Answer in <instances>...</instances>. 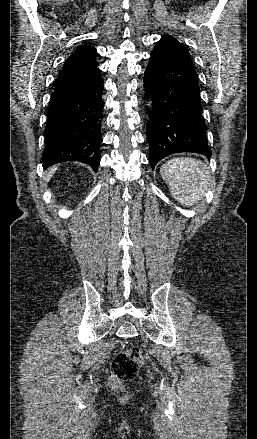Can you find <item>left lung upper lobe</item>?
I'll return each mask as SVG.
<instances>
[{
	"label": "left lung upper lobe",
	"instance_id": "left-lung-upper-lobe-1",
	"mask_svg": "<svg viewBox=\"0 0 257 439\" xmlns=\"http://www.w3.org/2000/svg\"><path fill=\"white\" fill-rule=\"evenodd\" d=\"M163 38H169V39H173V40H175V41H177L175 38H172V37H170V36H164ZM178 42V41H177ZM181 44V43H180ZM183 45V44H182ZM185 48V47H184ZM185 50H187L186 48H185ZM187 52H188V50H187ZM189 53V52H188Z\"/></svg>",
	"mask_w": 257,
	"mask_h": 439
}]
</instances>
